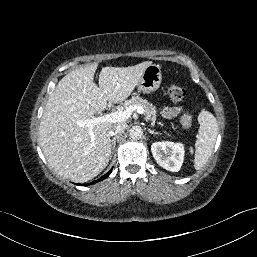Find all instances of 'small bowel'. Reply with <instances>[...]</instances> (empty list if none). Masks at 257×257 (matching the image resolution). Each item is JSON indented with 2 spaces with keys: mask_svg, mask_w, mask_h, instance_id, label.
Instances as JSON below:
<instances>
[{
  "mask_svg": "<svg viewBox=\"0 0 257 257\" xmlns=\"http://www.w3.org/2000/svg\"><path fill=\"white\" fill-rule=\"evenodd\" d=\"M182 107H172L163 110V114L167 117H174L181 113Z\"/></svg>",
  "mask_w": 257,
  "mask_h": 257,
  "instance_id": "1",
  "label": "small bowel"
}]
</instances>
